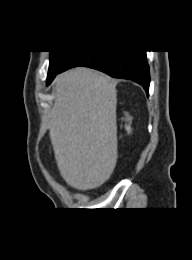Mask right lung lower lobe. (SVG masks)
Wrapping results in <instances>:
<instances>
[{
    "label": "right lung lower lobe",
    "instance_id": "obj_1",
    "mask_svg": "<svg viewBox=\"0 0 192 260\" xmlns=\"http://www.w3.org/2000/svg\"><path fill=\"white\" fill-rule=\"evenodd\" d=\"M76 66H86L105 72L114 78L132 80L149 94L150 75L146 51H87L75 53L59 73ZM47 80L49 85L52 80Z\"/></svg>",
    "mask_w": 192,
    "mask_h": 260
}]
</instances>
